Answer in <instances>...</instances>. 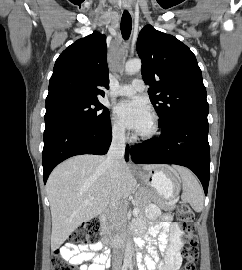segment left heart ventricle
<instances>
[{"label": "left heart ventricle", "instance_id": "1", "mask_svg": "<svg viewBox=\"0 0 242 270\" xmlns=\"http://www.w3.org/2000/svg\"><path fill=\"white\" fill-rule=\"evenodd\" d=\"M150 125H151V121H150V122L148 123V125H147L142 131H140L139 133H144V132L148 131L149 128H150Z\"/></svg>", "mask_w": 242, "mask_h": 270}]
</instances>
